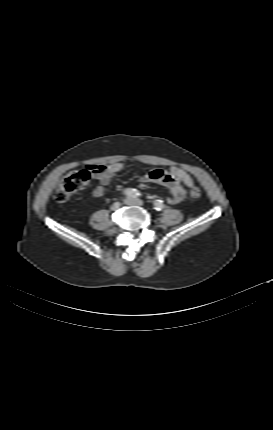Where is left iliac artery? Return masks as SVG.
<instances>
[{"mask_svg":"<svg viewBox=\"0 0 273 430\" xmlns=\"http://www.w3.org/2000/svg\"><path fill=\"white\" fill-rule=\"evenodd\" d=\"M154 208H155L157 211L162 210V209L164 208L163 201H162V200H155V201H154Z\"/></svg>","mask_w":273,"mask_h":430,"instance_id":"44dca946","label":"left iliac artery"}]
</instances>
